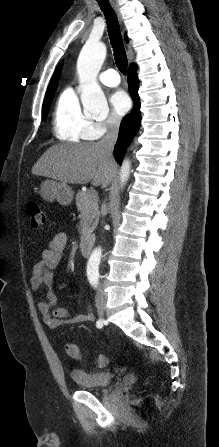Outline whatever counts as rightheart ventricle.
<instances>
[{"instance_id":"1","label":"right heart ventricle","mask_w":219,"mask_h":447,"mask_svg":"<svg viewBox=\"0 0 219 447\" xmlns=\"http://www.w3.org/2000/svg\"><path fill=\"white\" fill-rule=\"evenodd\" d=\"M52 123L55 136L63 142L79 143L98 137L94 121L83 113L77 95L70 88L58 97Z\"/></svg>"}]
</instances>
